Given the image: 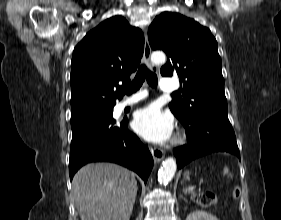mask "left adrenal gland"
<instances>
[{"instance_id": "a2214340", "label": "left adrenal gland", "mask_w": 281, "mask_h": 220, "mask_svg": "<svg viewBox=\"0 0 281 220\" xmlns=\"http://www.w3.org/2000/svg\"><path fill=\"white\" fill-rule=\"evenodd\" d=\"M185 193H186V191H185ZM180 198H183L182 196H180ZM184 199V198H183ZM185 200V199H184Z\"/></svg>"}]
</instances>
